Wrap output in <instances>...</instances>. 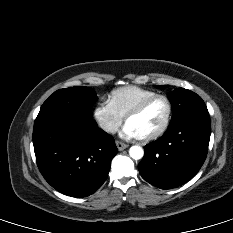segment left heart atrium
Segmentation results:
<instances>
[{
    "label": "left heart atrium",
    "mask_w": 233,
    "mask_h": 233,
    "mask_svg": "<svg viewBox=\"0 0 233 233\" xmlns=\"http://www.w3.org/2000/svg\"><path fill=\"white\" fill-rule=\"evenodd\" d=\"M121 135L125 138H140L138 132L128 123L124 126Z\"/></svg>",
    "instance_id": "39dd6f15"
}]
</instances>
